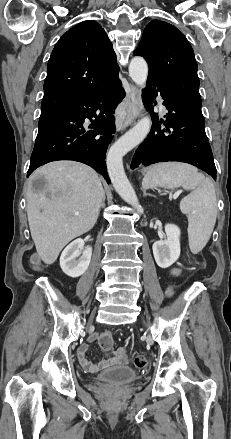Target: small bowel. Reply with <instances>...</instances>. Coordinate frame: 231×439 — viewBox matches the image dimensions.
<instances>
[{"instance_id":"c3829d8e","label":"small bowel","mask_w":231,"mask_h":439,"mask_svg":"<svg viewBox=\"0 0 231 439\" xmlns=\"http://www.w3.org/2000/svg\"><path fill=\"white\" fill-rule=\"evenodd\" d=\"M180 273V268H173L171 270L172 275H178ZM166 293L169 296L173 295V289L168 287L166 289ZM98 338V334H93L88 338V342H92ZM88 350V345L83 344L78 351V360L81 366L89 372H97L100 369L107 368L113 365L124 364L126 362V354L124 348H119L114 351L111 355L103 358L98 364H93L90 360L87 359L86 353Z\"/></svg>"}]
</instances>
